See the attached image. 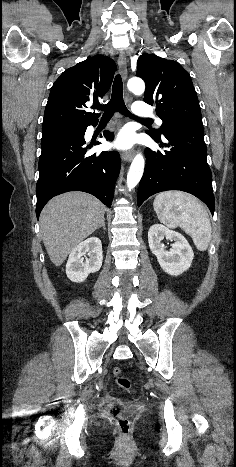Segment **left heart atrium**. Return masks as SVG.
I'll return each mask as SVG.
<instances>
[{
    "label": "left heart atrium",
    "instance_id": "39dd6f15",
    "mask_svg": "<svg viewBox=\"0 0 236 467\" xmlns=\"http://www.w3.org/2000/svg\"><path fill=\"white\" fill-rule=\"evenodd\" d=\"M134 144L133 133L129 129H123L119 132L115 146L119 149H128Z\"/></svg>",
    "mask_w": 236,
    "mask_h": 467
}]
</instances>
